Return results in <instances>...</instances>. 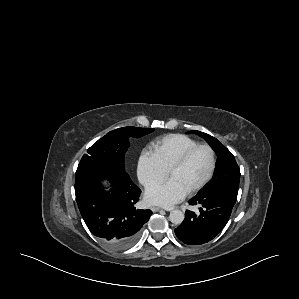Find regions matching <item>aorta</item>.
I'll return each mask as SVG.
<instances>
[{"label": "aorta", "mask_w": 299, "mask_h": 299, "mask_svg": "<svg viewBox=\"0 0 299 299\" xmlns=\"http://www.w3.org/2000/svg\"><path fill=\"white\" fill-rule=\"evenodd\" d=\"M185 215L180 210H173L170 212L169 219L173 224H181L184 221Z\"/></svg>", "instance_id": "1"}]
</instances>
